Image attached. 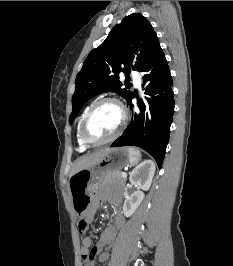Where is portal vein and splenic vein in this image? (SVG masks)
Segmentation results:
<instances>
[{
  "instance_id": "1",
  "label": "portal vein and splenic vein",
  "mask_w": 233,
  "mask_h": 266,
  "mask_svg": "<svg viewBox=\"0 0 233 266\" xmlns=\"http://www.w3.org/2000/svg\"><path fill=\"white\" fill-rule=\"evenodd\" d=\"M121 176H122L123 178H126V177H127V174H126L125 172H122V173H121Z\"/></svg>"
}]
</instances>
